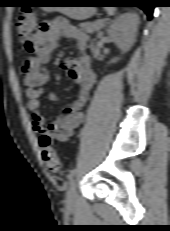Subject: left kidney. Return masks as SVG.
<instances>
[{"label": "left kidney", "instance_id": "left-kidney-1", "mask_svg": "<svg viewBox=\"0 0 170 231\" xmlns=\"http://www.w3.org/2000/svg\"><path fill=\"white\" fill-rule=\"evenodd\" d=\"M139 25V17L134 13H125L117 18L108 29L110 39L123 53L127 52L135 42ZM118 58L111 62H116Z\"/></svg>", "mask_w": 170, "mask_h": 231}]
</instances>
